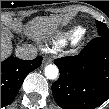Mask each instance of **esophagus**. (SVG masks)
<instances>
[{
    "label": "esophagus",
    "mask_w": 109,
    "mask_h": 109,
    "mask_svg": "<svg viewBox=\"0 0 109 109\" xmlns=\"http://www.w3.org/2000/svg\"><path fill=\"white\" fill-rule=\"evenodd\" d=\"M51 62V59L50 58H48V57H44L43 58V64L44 65H47V64H49Z\"/></svg>",
    "instance_id": "34e87169"
}]
</instances>
